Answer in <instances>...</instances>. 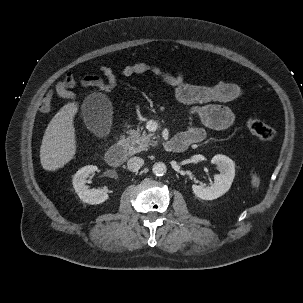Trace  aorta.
Here are the masks:
<instances>
[{
    "label": "aorta",
    "instance_id": "762f6f07",
    "mask_svg": "<svg viewBox=\"0 0 303 303\" xmlns=\"http://www.w3.org/2000/svg\"><path fill=\"white\" fill-rule=\"evenodd\" d=\"M152 171L156 176H163L167 171V167L163 162H157L153 165Z\"/></svg>",
    "mask_w": 303,
    "mask_h": 303
}]
</instances>
